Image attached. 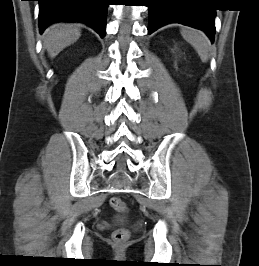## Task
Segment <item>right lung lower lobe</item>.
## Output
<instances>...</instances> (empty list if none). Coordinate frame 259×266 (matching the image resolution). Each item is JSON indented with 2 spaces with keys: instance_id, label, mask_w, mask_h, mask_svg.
I'll return each instance as SVG.
<instances>
[{
  "instance_id": "obj_1",
  "label": "right lung lower lobe",
  "mask_w": 259,
  "mask_h": 266,
  "mask_svg": "<svg viewBox=\"0 0 259 266\" xmlns=\"http://www.w3.org/2000/svg\"><path fill=\"white\" fill-rule=\"evenodd\" d=\"M39 28L56 22H81L92 27L103 38L109 0H38Z\"/></svg>"
}]
</instances>
